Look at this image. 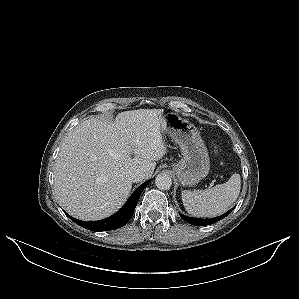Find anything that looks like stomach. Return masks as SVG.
<instances>
[{"instance_id": "obj_1", "label": "stomach", "mask_w": 299, "mask_h": 299, "mask_svg": "<svg viewBox=\"0 0 299 299\" xmlns=\"http://www.w3.org/2000/svg\"><path fill=\"white\" fill-rule=\"evenodd\" d=\"M163 131L180 147L182 158L174 165V171L183 186H194L205 178L210 170L208 150L198 129L177 113L163 115Z\"/></svg>"}]
</instances>
